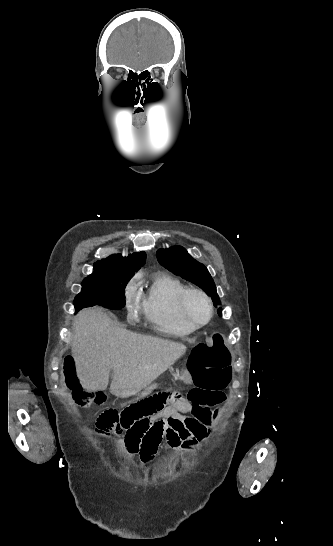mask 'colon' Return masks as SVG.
Listing matches in <instances>:
<instances>
[{
    "label": "colon",
    "mask_w": 333,
    "mask_h": 546,
    "mask_svg": "<svg viewBox=\"0 0 333 546\" xmlns=\"http://www.w3.org/2000/svg\"><path fill=\"white\" fill-rule=\"evenodd\" d=\"M231 353L221 335L215 334L210 341L201 342L194 347L191 353L189 368L197 387L190 391V402H207L201 393L204 391H218L225 388L232 376ZM64 374L67 385L77 404L89 406L93 401L102 402V395H92L91 390L84 389L78 384L76 375V359L68 356L64 362ZM181 406L184 402L175 393L159 391L147 396H138L137 400H127L122 411L108 409L97 419V431L102 436H114L128 432L129 418L136 422H145L147 418H154L167 404ZM159 433L157 436L159 437Z\"/></svg>",
    "instance_id": "1"
}]
</instances>
